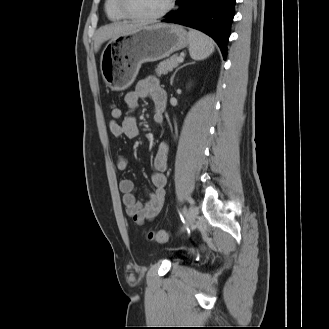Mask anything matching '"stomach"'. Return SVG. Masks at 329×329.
<instances>
[{"instance_id": "1", "label": "stomach", "mask_w": 329, "mask_h": 329, "mask_svg": "<svg viewBox=\"0 0 329 329\" xmlns=\"http://www.w3.org/2000/svg\"><path fill=\"white\" fill-rule=\"evenodd\" d=\"M189 43L183 27L158 23L110 39L100 59L102 77L115 91L128 88L143 63L154 62L183 49Z\"/></svg>"}]
</instances>
